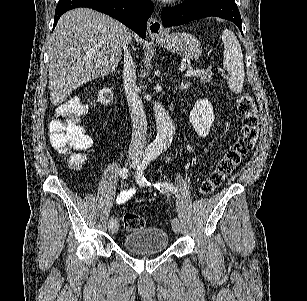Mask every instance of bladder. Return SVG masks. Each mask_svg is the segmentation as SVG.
<instances>
[{
	"mask_svg": "<svg viewBox=\"0 0 307 301\" xmlns=\"http://www.w3.org/2000/svg\"><path fill=\"white\" fill-rule=\"evenodd\" d=\"M122 245L126 250L155 253L166 250L168 237L165 230L158 228H143L128 233L122 238Z\"/></svg>",
	"mask_w": 307,
	"mask_h": 301,
	"instance_id": "31cf9c89",
	"label": "bladder"
}]
</instances>
